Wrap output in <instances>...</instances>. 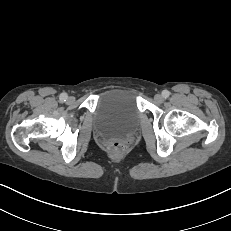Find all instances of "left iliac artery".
<instances>
[{
  "instance_id": "1",
  "label": "left iliac artery",
  "mask_w": 231,
  "mask_h": 231,
  "mask_svg": "<svg viewBox=\"0 0 231 231\" xmlns=\"http://www.w3.org/2000/svg\"><path fill=\"white\" fill-rule=\"evenodd\" d=\"M162 96H163V98H168L169 96H170V92L168 91V90H163L162 91Z\"/></svg>"
}]
</instances>
